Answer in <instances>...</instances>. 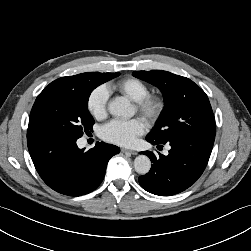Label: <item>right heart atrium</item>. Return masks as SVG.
Returning <instances> with one entry per match:
<instances>
[{"label":"right heart atrium","mask_w":251,"mask_h":251,"mask_svg":"<svg viewBox=\"0 0 251 251\" xmlns=\"http://www.w3.org/2000/svg\"><path fill=\"white\" fill-rule=\"evenodd\" d=\"M109 100V91L106 86H98L91 91L87 99V109L96 119L106 116Z\"/></svg>","instance_id":"obj_1"}]
</instances>
